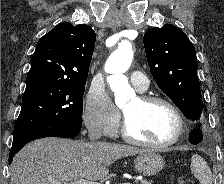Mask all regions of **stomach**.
<instances>
[{
  "mask_svg": "<svg viewBox=\"0 0 224 184\" xmlns=\"http://www.w3.org/2000/svg\"><path fill=\"white\" fill-rule=\"evenodd\" d=\"M135 169L144 176H153L159 173L165 164L161 155L153 152L146 151L140 153L134 161Z\"/></svg>",
  "mask_w": 224,
  "mask_h": 184,
  "instance_id": "stomach-1",
  "label": "stomach"
}]
</instances>
